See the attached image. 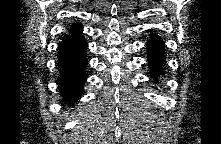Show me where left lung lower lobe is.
<instances>
[{"instance_id": "0a47b994", "label": "left lung lower lobe", "mask_w": 221, "mask_h": 144, "mask_svg": "<svg viewBox=\"0 0 221 144\" xmlns=\"http://www.w3.org/2000/svg\"><path fill=\"white\" fill-rule=\"evenodd\" d=\"M148 48V65L150 66V75L154 81L163 75L162 66L165 63L164 43L159 36L151 35V39L147 43Z\"/></svg>"}]
</instances>
